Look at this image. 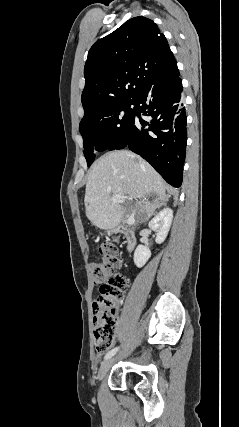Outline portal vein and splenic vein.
<instances>
[{"instance_id":"1","label":"portal vein and splenic vein","mask_w":239,"mask_h":427,"mask_svg":"<svg viewBox=\"0 0 239 427\" xmlns=\"http://www.w3.org/2000/svg\"><path fill=\"white\" fill-rule=\"evenodd\" d=\"M126 197H123V196H119V195H116V196H112L111 197V201H113V202H123V199H125ZM130 222L128 221V224H129Z\"/></svg>"}]
</instances>
